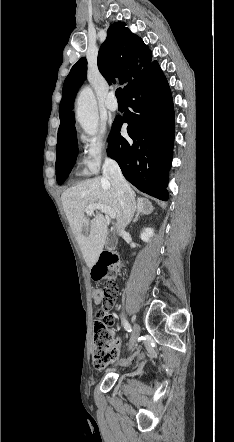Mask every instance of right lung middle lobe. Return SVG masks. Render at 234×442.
Returning <instances> with one entry per match:
<instances>
[{
  "label": "right lung middle lobe",
  "instance_id": "1",
  "mask_svg": "<svg viewBox=\"0 0 234 442\" xmlns=\"http://www.w3.org/2000/svg\"><path fill=\"white\" fill-rule=\"evenodd\" d=\"M56 178L62 184L73 168V163L78 154L76 132L62 146L56 148Z\"/></svg>",
  "mask_w": 234,
  "mask_h": 442
}]
</instances>
